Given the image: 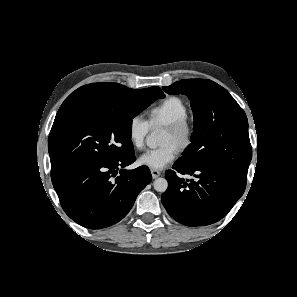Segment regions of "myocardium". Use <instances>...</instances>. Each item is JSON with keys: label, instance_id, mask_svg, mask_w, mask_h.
Here are the masks:
<instances>
[{"label": "myocardium", "instance_id": "myocardium-1", "mask_svg": "<svg viewBox=\"0 0 297 297\" xmlns=\"http://www.w3.org/2000/svg\"><path fill=\"white\" fill-rule=\"evenodd\" d=\"M166 129L174 135L178 147L185 149L190 145L193 136V128L187 118L167 125Z\"/></svg>", "mask_w": 297, "mask_h": 297}]
</instances>
